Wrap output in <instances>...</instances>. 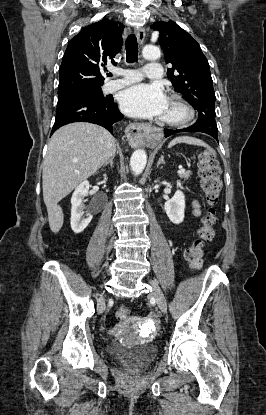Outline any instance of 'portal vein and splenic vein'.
Returning <instances> with one entry per match:
<instances>
[{"label":"portal vein and splenic vein","instance_id":"18ae733b","mask_svg":"<svg viewBox=\"0 0 266 415\" xmlns=\"http://www.w3.org/2000/svg\"><path fill=\"white\" fill-rule=\"evenodd\" d=\"M178 173H183V172H185V169L184 168H182V167H180L179 168V170L177 171Z\"/></svg>","mask_w":266,"mask_h":415}]
</instances>
